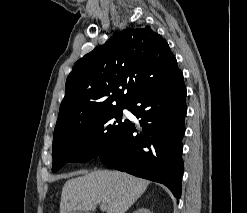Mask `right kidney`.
Listing matches in <instances>:
<instances>
[{
  "mask_svg": "<svg viewBox=\"0 0 247 213\" xmlns=\"http://www.w3.org/2000/svg\"><path fill=\"white\" fill-rule=\"evenodd\" d=\"M133 213H151V212L149 209L142 207V208L137 209Z\"/></svg>",
  "mask_w": 247,
  "mask_h": 213,
  "instance_id": "ca27d5eb",
  "label": "right kidney"
}]
</instances>
